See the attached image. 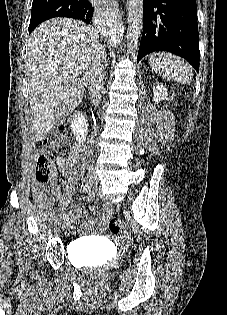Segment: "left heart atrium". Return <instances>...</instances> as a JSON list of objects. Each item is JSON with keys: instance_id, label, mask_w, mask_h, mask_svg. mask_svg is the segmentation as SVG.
<instances>
[{"instance_id": "1", "label": "left heart atrium", "mask_w": 227, "mask_h": 315, "mask_svg": "<svg viewBox=\"0 0 227 315\" xmlns=\"http://www.w3.org/2000/svg\"><path fill=\"white\" fill-rule=\"evenodd\" d=\"M95 1H97V2H99V3H101L102 1L101 0H95ZM104 1V0H103Z\"/></svg>"}]
</instances>
